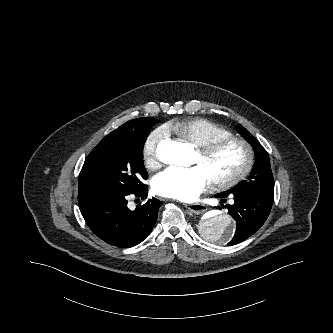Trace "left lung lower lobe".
I'll list each match as a JSON object with an SVG mask.
<instances>
[{"instance_id": "1", "label": "left lung lower lobe", "mask_w": 333, "mask_h": 333, "mask_svg": "<svg viewBox=\"0 0 333 333\" xmlns=\"http://www.w3.org/2000/svg\"><path fill=\"white\" fill-rule=\"evenodd\" d=\"M229 195L234 198V204L226 207L236 221V232L228 245H235L253 235L264 224L270 213L273 198L255 193L227 191L216 194L215 197L225 200Z\"/></svg>"}]
</instances>
